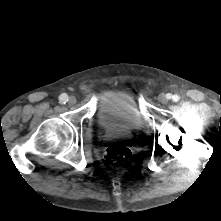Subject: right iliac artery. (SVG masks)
Segmentation results:
<instances>
[{
    "label": "right iliac artery",
    "instance_id": "82829eb1",
    "mask_svg": "<svg viewBox=\"0 0 221 221\" xmlns=\"http://www.w3.org/2000/svg\"><path fill=\"white\" fill-rule=\"evenodd\" d=\"M68 101V95L63 93L59 96V102L65 104Z\"/></svg>",
    "mask_w": 221,
    "mask_h": 221
}]
</instances>
